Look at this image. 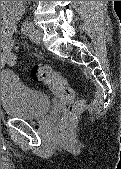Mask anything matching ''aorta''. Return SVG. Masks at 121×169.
<instances>
[{
    "instance_id": "762f6f07",
    "label": "aorta",
    "mask_w": 121,
    "mask_h": 169,
    "mask_svg": "<svg viewBox=\"0 0 121 169\" xmlns=\"http://www.w3.org/2000/svg\"><path fill=\"white\" fill-rule=\"evenodd\" d=\"M24 1H1V9L7 12H21Z\"/></svg>"
}]
</instances>
